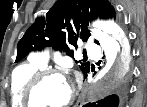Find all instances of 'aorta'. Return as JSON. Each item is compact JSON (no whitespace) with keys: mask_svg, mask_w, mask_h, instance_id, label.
I'll return each instance as SVG.
<instances>
[{"mask_svg":"<svg viewBox=\"0 0 147 107\" xmlns=\"http://www.w3.org/2000/svg\"><path fill=\"white\" fill-rule=\"evenodd\" d=\"M92 35L104 50L107 66L90 86L86 99L97 101L117 88L126 77L131 60L126 37L118 26L102 23L99 29H93Z\"/></svg>","mask_w":147,"mask_h":107,"instance_id":"aorta-1","label":"aorta"}]
</instances>
